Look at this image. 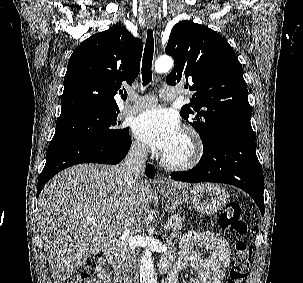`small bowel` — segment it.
Wrapping results in <instances>:
<instances>
[{
	"instance_id": "obj_1",
	"label": "small bowel",
	"mask_w": 303,
	"mask_h": 283,
	"mask_svg": "<svg viewBox=\"0 0 303 283\" xmlns=\"http://www.w3.org/2000/svg\"><path fill=\"white\" fill-rule=\"evenodd\" d=\"M179 246L180 252L171 272L176 283H180L179 274L188 266L198 273V279H191L189 283H222L230 255V248L224 237L213 232L189 231L181 236ZM173 257L172 250L165 254V259L170 261ZM96 271L97 283H112L105 260H100Z\"/></svg>"
}]
</instances>
